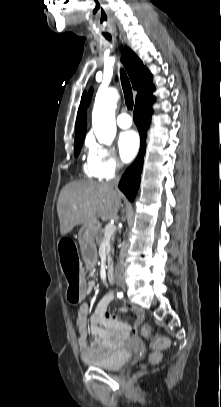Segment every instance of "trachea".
<instances>
[{
	"label": "trachea",
	"instance_id": "trachea-1",
	"mask_svg": "<svg viewBox=\"0 0 221 407\" xmlns=\"http://www.w3.org/2000/svg\"><path fill=\"white\" fill-rule=\"evenodd\" d=\"M106 39L110 41L111 37L106 36ZM120 77H121V84H122V88H123V92H124V96H125L126 106L129 110H132L133 109L132 89H131L129 79L124 70H121Z\"/></svg>",
	"mask_w": 221,
	"mask_h": 407
}]
</instances>
